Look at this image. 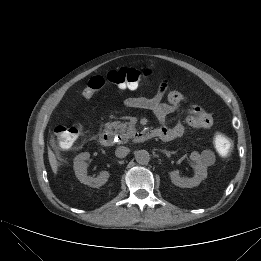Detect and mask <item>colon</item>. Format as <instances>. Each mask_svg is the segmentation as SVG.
<instances>
[{"instance_id":"5ec220e1","label":"colon","mask_w":261,"mask_h":261,"mask_svg":"<svg viewBox=\"0 0 261 261\" xmlns=\"http://www.w3.org/2000/svg\"><path fill=\"white\" fill-rule=\"evenodd\" d=\"M151 74L149 69L140 70L133 67H122L111 70L106 75L94 76L87 83L83 90L85 98L95 96L98 91L106 84L112 83L116 86L139 85L140 82ZM57 142L62 148H70L81 134L79 126H57L54 129ZM213 143L216 151L221 156H229L233 150V141L222 132H216L213 137Z\"/></svg>"}]
</instances>
